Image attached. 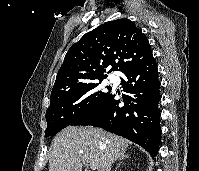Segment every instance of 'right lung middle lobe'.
Listing matches in <instances>:
<instances>
[{
  "mask_svg": "<svg viewBox=\"0 0 199 171\" xmlns=\"http://www.w3.org/2000/svg\"><path fill=\"white\" fill-rule=\"evenodd\" d=\"M104 78L81 85L67 96L50 104L46 111V137L55 136L75 119L96 106L109 92H103L100 83ZM110 86L107 89L110 90Z\"/></svg>",
  "mask_w": 199,
  "mask_h": 171,
  "instance_id": "right-lung-middle-lobe-1",
  "label": "right lung middle lobe"
}]
</instances>
